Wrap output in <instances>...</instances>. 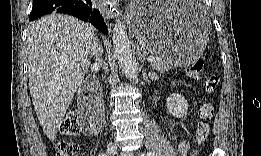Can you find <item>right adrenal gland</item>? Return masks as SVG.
Segmentation results:
<instances>
[{"label": "right adrenal gland", "instance_id": "right-adrenal-gland-1", "mask_svg": "<svg viewBox=\"0 0 261 156\" xmlns=\"http://www.w3.org/2000/svg\"><path fill=\"white\" fill-rule=\"evenodd\" d=\"M104 50L102 45L99 44V40L97 37H95V41L93 42V45L91 46L90 49V56L95 57L96 59H98L102 54H103Z\"/></svg>", "mask_w": 261, "mask_h": 156}]
</instances>
